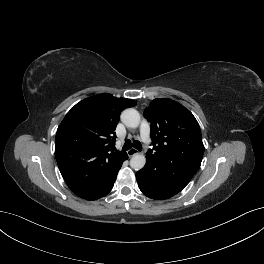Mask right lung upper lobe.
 Wrapping results in <instances>:
<instances>
[{"label": "right lung upper lobe", "mask_w": 264, "mask_h": 264, "mask_svg": "<svg viewBox=\"0 0 264 264\" xmlns=\"http://www.w3.org/2000/svg\"><path fill=\"white\" fill-rule=\"evenodd\" d=\"M136 102L104 93L86 98L67 113L57 129L55 157L68 187L96 200L110 192L126 152L116 150L114 132L122 110Z\"/></svg>", "instance_id": "right-lung-upper-lobe-1"}]
</instances>
